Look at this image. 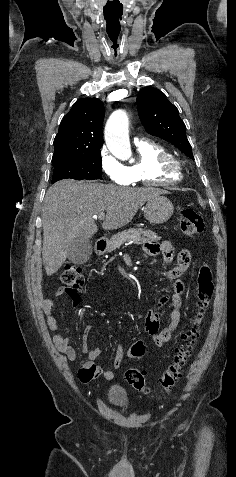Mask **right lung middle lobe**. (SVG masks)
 Here are the masks:
<instances>
[{
    "label": "right lung middle lobe",
    "mask_w": 236,
    "mask_h": 477,
    "mask_svg": "<svg viewBox=\"0 0 236 477\" xmlns=\"http://www.w3.org/2000/svg\"><path fill=\"white\" fill-rule=\"evenodd\" d=\"M54 172L52 183L61 179L75 180L101 179V152L100 150L87 151L75 156L52 161Z\"/></svg>",
    "instance_id": "dd1d6c3e"
}]
</instances>
